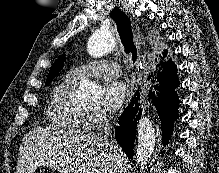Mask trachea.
Returning <instances> with one entry per match:
<instances>
[{"label":"trachea","mask_w":219,"mask_h":173,"mask_svg":"<svg viewBox=\"0 0 219 173\" xmlns=\"http://www.w3.org/2000/svg\"><path fill=\"white\" fill-rule=\"evenodd\" d=\"M110 16L117 25V30L125 52L132 55V61L135 63L137 59V48L133 41V32L129 17L118 7L112 9Z\"/></svg>","instance_id":"trachea-1"}]
</instances>
